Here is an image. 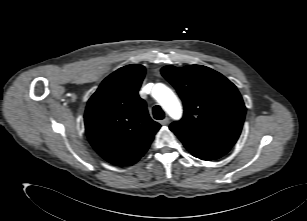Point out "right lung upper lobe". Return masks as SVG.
Listing matches in <instances>:
<instances>
[{
  "label": "right lung upper lobe",
  "mask_w": 307,
  "mask_h": 221,
  "mask_svg": "<svg viewBox=\"0 0 307 221\" xmlns=\"http://www.w3.org/2000/svg\"><path fill=\"white\" fill-rule=\"evenodd\" d=\"M144 76V66H124L110 74L88 101L84 116L88 140L114 165L136 163L160 128L138 95Z\"/></svg>",
  "instance_id": "1"
}]
</instances>
